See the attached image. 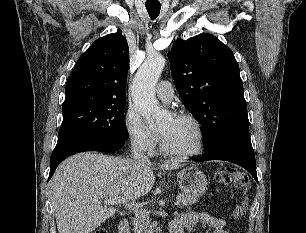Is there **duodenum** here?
<instances>
[{"instance_id":"410a0bca","label":"duodenum","mask_w":306,"mask_h":233,"mask_svg":"<svg viewBox=\"0 0 306 233\" xmlns=\"http://www.w3.org/2000/svg\"><path fill=\"white\" fill-rule=\"evenodd\" d=\"M118 233H130V227L127 219H121L118 224ZM170 233H182L180 225H171Z\"/></svg>"}]
</instances>
